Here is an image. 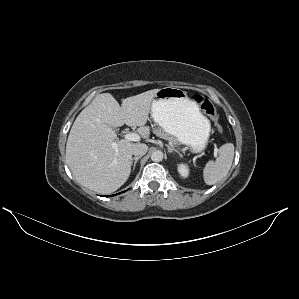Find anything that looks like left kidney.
Listing matches in <instances>:
<instances>
[{"instance_id":"left-kidney-1","label":"left kidney","mask_w":299,"mask_h":299,"mask_svg":"<svg viewBox=\"0 0 299 299\" xmlns=\"http://www.w3.org/2000/svg\"><path fill=\"white\" fill-rule=\"evenodd\" d=\"M178 172L183 178H187L189 175V169L185 164L178 165Z\"/></svg>"}]
</instances>
